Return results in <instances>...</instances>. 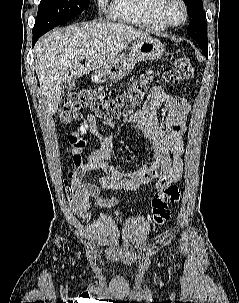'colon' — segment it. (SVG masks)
I'll list each match as a JSON object with an SVG mask.
<instances>
[{
    "instance_id": "1",
    "label": "colon",
    "mask_w": 239,
    "mask_h": 303,
    "mask_svg": "<svg viewBox=\"0 0 239 303\" xmlns=\"http://www.w3.org/2000/svg\"><path fill=\"white\" fill-rule=\"evenodd\" d=\"M195 74L194 67L187 57L175 60L174 67L167 78L172 83H182L191 79ZM148 76H141L133 81L126 91L116 97H109L96 89H81L66 94L59 105V116L63 122L77 120L85 111L106 120H119L135 113L143 102L147 92ZM78 178L71 173L65 183V192L71 200L75 193ZM180 200V191L175 185L158 190L152 199V219L158 224H164L170 219L169 204Z\"/></svg>"
}]
</instances>
